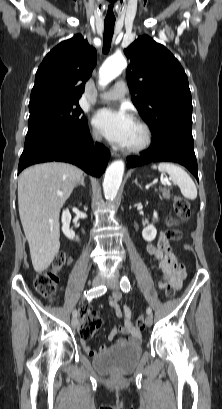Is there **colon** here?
Masks as SVG:
<instances>
[{
	"label": "colon",
	"instance_id": "obj_1",
	"mask_svg": "<svg viewBox=\"0 0 222 409\" xmlns=\"http://www.w3.org/2000/svg\"><path fill=\"white\" fill-rule=\"evenodd\" d=\"M174 215L169 217L168 224L171 229L168 231L167 236L170 239L176 240L179 238V232L175 229V226L179 223L187 221L190 217V203L180 197L174 198ZM67 256L64 252H59L54 257L51 267L48 270H44L38 273L34 279V286L36 291L43 297L51 299L54 297L57 285L59 282V271L66 264ZM168 297L175 294V288L168 286L165 291ZM82 317V325L79 333L82 339L88 340L98 331L101 326V319L96 309L92 307H84L80 310ZM145 315V314H144ZM137 327L142 330L144 327V317L141 315L137 319Z\"/></svg>",
	"mask_w": 222,
	"mask_h": 409
}]
</instances>
